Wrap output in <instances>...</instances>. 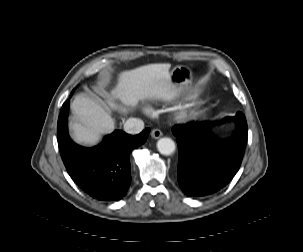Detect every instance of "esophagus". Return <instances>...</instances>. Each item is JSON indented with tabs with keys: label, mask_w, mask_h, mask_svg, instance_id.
I'll return each instance as SVG.
<instances>
[{
	"label": "esophagus",
	"mask_w": 303,
	"mask_h": 252,
	"mask_svg": "<svg viewBox=\"0 0 303 252\" xmlns=\"http://www.w3.org/2000/svg\"><path fill=\"white\" fill-rule=\"evenodd\" d=\"M163 134H162V131L160 130V129H153L152 131H151V137L152 138H154V139H158V138H160L161 136H162Z\"/></svg>",
	"instance_id": "obj_1"
}]
</instances>
